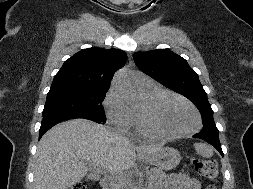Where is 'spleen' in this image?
I'll list each match as a JSON object with an SVG mask.
<instances>
[{
	"label": "spleen",
	"instance_id": "3e777b00",
	"mask_svg": "<svg viewBox=\"0 0 253 189\" xmlns=\"http://www.w3.org/2000/svg\"><path fill=\"white\" fill-rule=\"evenodd\" d=\"M194 148L197 152V154L205 157L210 158L213 156V148L205 143H195Z\"/></svg>",
	"mask_w": 253,
	"mask_h": 189
}]
</instances>
